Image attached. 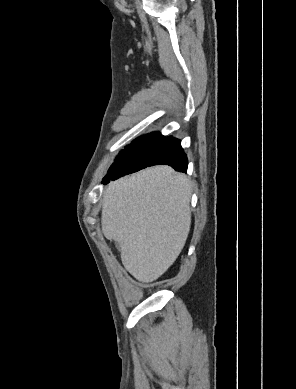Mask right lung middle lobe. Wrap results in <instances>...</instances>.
Wrapping results in <instances>:
<instances>
[{
  "mask_svg": "<svg viewBox=\"0 0 296 389\" xmlns=\"http://www.w3.org/2000/svg\"><path fill=\"white\" fill-rule=\"evenodd\" d=\"M164 139L159 132H154L136 139L115 159L109 171L126 168H137L145 164L150 152Z\"/></svg>",
  "mask_w": 296,
  "mask_h": 389,
  "instance_id": "1",
  "label": "right lung middle lobe"
}]
</instances>
